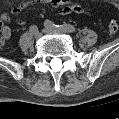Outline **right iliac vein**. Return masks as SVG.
<instances>
[{"label": "right iliac vein", "instance_id": "63e3f726", "mask_svg": "<svg viewBox=\"0 0 119 119\" xmlns=\"http://www.w3.org/2000/svg\"><path fill=\"white\" fill-rule=\"evenodd\" d=\"M41 36H42V33L39 32V31H37V32L34 33V37H35L36 39L40 38Z\"/></svg>", "mask_w": 119, "mask_h": 119}]
</instances>
